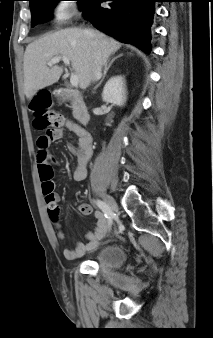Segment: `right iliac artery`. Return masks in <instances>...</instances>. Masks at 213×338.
<instances>
[{
  "label": "right iliac artery",
  "mask_w": 213,
  "mask_h": 338,
  "mask_svg": "<svg viewBox=\"0 0 213 338\" xmlns=\"http://www.w3.org/2000/svg\"><path fill=\"white\" fill-rule=\"evenodd\" d=\"M96 204L103 211V213H104V215L107 219L108 226H109V228H111L112 222H113V212L109 209V207L106 205V203L101 201V200H96Z\"/></svg>",
  "instance_id": "1"
}]
</instances>
